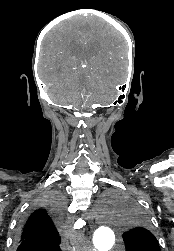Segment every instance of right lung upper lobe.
Segmentation results:
<instances>
[{"mask_svg": "<svg viewBox=\"0 0 174 251\" xmlns=\"http://www.w3.org/2000/svg\"><path fill=\"white\" fill-rule=\"evenodd\" d=\"M59 216L48 207H36L20 226L16 236V245L26 243L33 246L29 251H61Z\"/></svg>", "mask_w": 174, "mask_h": 251, "instance_id": "1", "label": "right lung upper lobe"}]
</instances>
